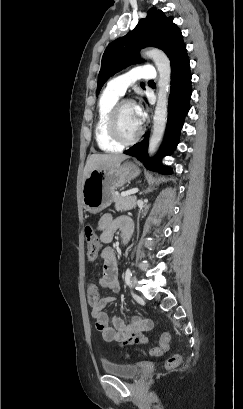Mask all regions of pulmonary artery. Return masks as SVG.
Segmentation results:
<instances>
[{"instance_id":"pulmonary-artery-1","label":"pulmonary artery","mask_w":243,"mask_h":409,"mask_svg":"<svg viewBox=\"0 0 243 409\" xmlns=\"http://www.w3.org/2000/svg\"><path fill=\"white\" fill-rule=\"evenodd\" d=\"M155 77L156 71L154 70L153 65H151L150 67L139 66L111 79L107 84V88L113 93L119 96H123L128 87L137 80L155 79Z\"/></svg>"}]
</instances>
